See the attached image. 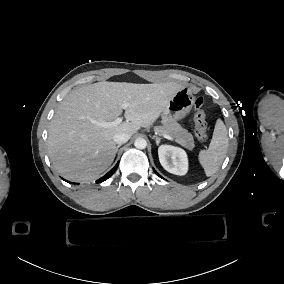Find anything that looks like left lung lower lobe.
I'll return each mask as SVG.
<instances>
[{
  "label": "left lung lower lobe",
  "mask_w": 284,
  "mask_h": 284,
  "mask_svg": "<svg viewBox=\"0 0 284 284\" xmlns=\"http://www.w3.org/2000/svg\"><path fill=\"white\" fill-rule=\"evenodd\" d=\"M154 170V172L159 176V177H161L156 171H155V169H153ZM162 178V177H161Z\"/></svg>",
  "instance_id": "left-lung-lower-lobe-1"
}]
</instances>
